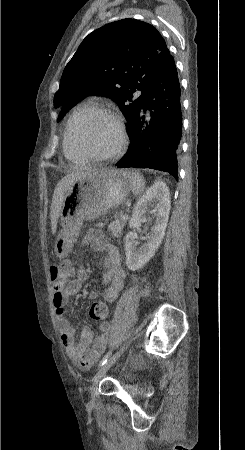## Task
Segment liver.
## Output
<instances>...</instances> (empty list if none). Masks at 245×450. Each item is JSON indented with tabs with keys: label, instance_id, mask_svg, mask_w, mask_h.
I'll list each match as a JSON object with an SVG mask.
<instances>
[{
	"label": "liver",
	"instance_id": "liver-1",
	"mask_svg": "<svg viewBox=\"0 0 245 450\" xmlns=\"http://www.w3.org/2000/svg\"><path fill=\"white\" fill-rule=\"evenodd\" d=\"M90 170H84V171H77L74 173H71L67 176H65L63 179H61L57 186L55 187L53 198H52V204H51V225H52V233H55L57 228V220L59 218L62 205L64 202V198L68 190L70 189V186L72 183L77 180L80 177H84L91 173Z\"/></svg>",
	"mask_w": 245,
	"mask_h": 450
}]
</instances>
